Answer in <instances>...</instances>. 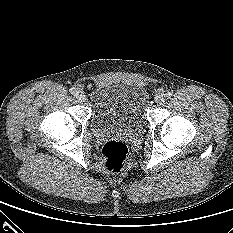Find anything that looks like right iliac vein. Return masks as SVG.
<instances>
[{
    "label": "right iliac vein",
    "mask_w": 233,
    "mask_h": 233,
    "mask_svg": "<svg viewBox=\"0 0 233 233\" xmlns=\"http://www.w3.org/2000/svg\"><path fill=\"white\" fill-rule=\"evenodd\" d=\"M75 97L77 98L78 101L83 102L85 100V95L82 91H77L75 93Z\"/></svg>",
    "instance_id": "63e3f726"
}]
</instances>
